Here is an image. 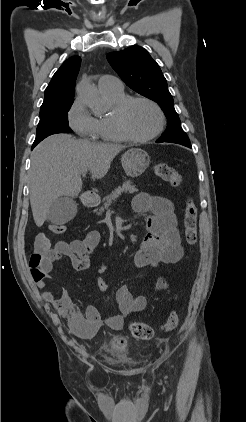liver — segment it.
Returning <instances> with one entry per match:
<instances>
[{
    "label": "liver",
    "mask_w": 246,
    "mask_h": 422,
    "mask_svg": "<svg viewBox=\"0 0 246 422\" xmlns=\"http://www.w3.org/2000/svg\"><path fill=\"white\" fill-rule=\"evenodd\" d=\"M124 146L93 143L57 134L43 140L31 154L30 204L35 224L41 227L54 201L76 197L82 190L81 173L89 170L102 179Z\"/></svg>",
    "instance_id": "1"
}]
</instances>
